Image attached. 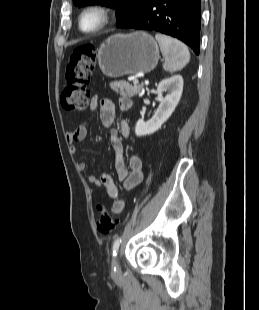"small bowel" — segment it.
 I'll use <instances>...</instances> for the list:
<instances>
[{
	"instance_id": "c3829d8e",
	"label": "small bowel",
	"mask_w": 259,
	"mask_h": 310,
	"mask_svg": "<svg viewBox=\"0 0 259 310\" xmlns=\"http://www.w3.org/2000/svg\"><path fill=\"white\" fill-rule=\"evenodd\" d=\"M119 107L121 110H128L131 107V100L127 97H121L119 99ZM99 109V115L101 123L104 127L110 128V143L115 154V169L117 173V178L122 182L123 189L130 191L136 188L143 181V162L138 155H131L128 159V166L125 164L123 152V142L119 133L128 138L130 136V128L126 122H121L118 129L112 128L116 116V106L114 102L110 99H99L94 96L89 104V110L91 112ZM88 133V122L85 121L78 125L75 129L69 130L66 133V139L69 144H71V152H76L75 143L83 141ZM80 171H84L86 164L84 162H79L77 165ZM86 181L89 184L95 186H102L106 189L108 196L114 200L112 205V210L114 213H122L126 201L124 199H119V189L113 179V177L108 172H102L100 176L88 175Z\"/></svg>"
}]
</instances>
